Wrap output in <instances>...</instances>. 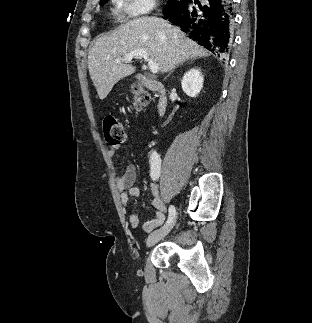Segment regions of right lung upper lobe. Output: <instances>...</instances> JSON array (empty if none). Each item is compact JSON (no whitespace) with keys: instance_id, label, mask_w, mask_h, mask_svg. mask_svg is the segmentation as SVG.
<instances>
[{"instance_id":"obj_1","label":"right lung upper lobe","mask_w":312,"mask_h":323,"mask_svg":"<svg viewBox=\"0 0 312 323\" xmlns=\"http://www.w3.org/2000/svg\"><path fill=\"white\" fill-rule=\"evenodd\" d=\"M106 3V0H100V4Z\"/></svg>"}]
</instances>
